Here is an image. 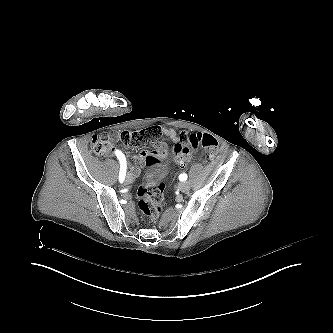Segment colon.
<instances>
[{
  "instance_id": "colon-1",
  "label": "colon",
  "mask_w": 333,
  "mask_h": 333,
  "mask_svg": "<svg viewBox=\"0 0 333 333\" xmlns=\"http://www.w3.org/2000/svg\"><path fill=\"white\" fill-rule=\"evenodd\" d=\"M159 135V129L151 126L144 132L139 131L131 133L125 131L120 135V139L123 144L131 148H144L146 143L155 145V143L152 142H155L159 138ZM117 141L118 134L115 131L101 129L98 134L92 138V149L94 153L101 156L109 150L110 144H115ZM210 142V137H205L201 140L202 146L207 149L208 152L215 154L217 152L216 146H210ZM166 155L165 150H157L156 154L146 155L144 163L148 168H162L165 165L162 159H165ZM187 156L188 151L183 150L178 145L175 146L172 151V157L175 160L182 161L186 159ZM163 190V182L151 172L146 175V182L143 183L138 189V209L143 216L144 226L149 230H156L162 224L161 213L163 212Z\"/></svg>"
}]
</instances>
